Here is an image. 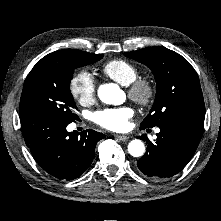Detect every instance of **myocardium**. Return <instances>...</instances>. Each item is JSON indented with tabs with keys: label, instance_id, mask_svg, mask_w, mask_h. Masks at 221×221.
I'll return each mask as SVG.
<instances>
[{
	"label": "myocardium",
	"instance_id": "f54148a6",
	"mask_svg": "<svg viewBox=\"0 0 221 221\" xmlns=\"http://www.w3.org/2000/svg\"><path fill=\"white\" fill-rule=\"evenodd\" d=\"M127 95L139 106L148 107L155 99V85L149 78H137L127 86Z\"/></svg>",
	"mask_w": 221,
	"mask_h": 221
}]
</instances>
